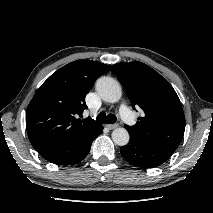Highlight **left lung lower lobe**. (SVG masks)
Listing matches in <instances>:
<instances>
[{
	"label": "left lung lower lobe",
	"mask_w": 213,
	"mask_h": 213,
	"mask_svg": "<svg viewBox=\"0 0 213 213\" xmlns=\"http://www.w3.org/2000/svg\"><path fill=\"white\" fill-rule=\"evenodd\" d=\"M130 134V141L120 148L121 154L130 164L140 168H154L164 163L172 151L149 145L139 137Z\"/></svg>",
	"instance_id": "1"
}]
</instances>
